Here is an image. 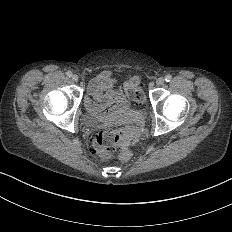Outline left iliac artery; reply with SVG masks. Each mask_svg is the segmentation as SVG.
I'll list each match as a JSON object with an SVG mask.
<instances>
[{
    "instance_id": "44dca946",
    "label": "left iliac artery",
    "mask_w": 232,
    "mask_h": 232,
    "mask_svg": "<svg viewBox=\"0 0 232 232\" xmlns=\"http://www.w3.org/2000/svg\"><path fill=\"white\" fill-rule=\"evenodd\" d=\"M164 79L166 82H170L172 80V76L170 74H167Z\"/></svg>"
}]
</instances>
